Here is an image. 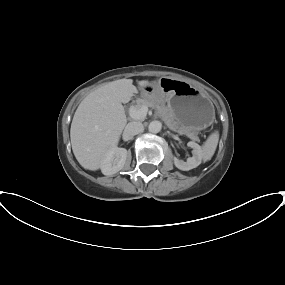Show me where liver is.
<instances>
[{
  "mask_svg": "<svg viewBox=\"0 0 285 285\" xmlns=\"http://www.w3.org/2000/svg\"><path fill=\"white\" fill-rule=\"evenodd\" d=\"M148 80L138 81L140 87ZM132 79L109 82L88 94L79 104L70 129L73 153L88 170L100 168L107 152L115 146L127 123L122 103L137 93Z\"/></svg>",
  "mask_w": 285,
  "mask_h": 285,
  "instance_id": "1",
  "label": "liver"
}]
</instances>
